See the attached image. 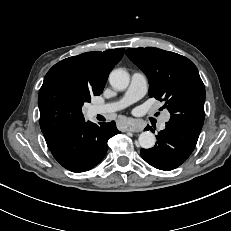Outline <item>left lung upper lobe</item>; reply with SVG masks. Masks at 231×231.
Instances as JSON below:
<instances>
[{
  "label": "left lung upper lobe",
  "mask_w": 231,
  "mask_h": 231,
  "mask_svg": "<svg viewBox=\"0 0 231 231\" xmlns=\"http://www.w3.org/2000/svg\"><path fill=\"white\" fill-rule=\"evenodd\" d=\"M127 57L149 79V96L166 101L170 122L199 133L204 123L205 87L192 61L154 47L127 49Z\"/></svg>",
  "instance_id": "5c2ea615"
}]
</instances>
